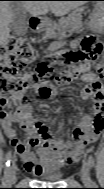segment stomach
<instances>
[{"label":"stomach","mask_w":104,"mask_h":189,"mask_svg":"<svg viewBox=\"0 0 104 189\" xmlns=\"http://www.w3.org/2000/svg\"><path fill=\"white\" fill-rule=\"evenodd\" d=\"M103 4L97 2L92 13L91 21L89 22V27L92 29L98 28L100 25V20L102 18Z\"/></svg>","instance_id":"obj_1"}]
</instances>
